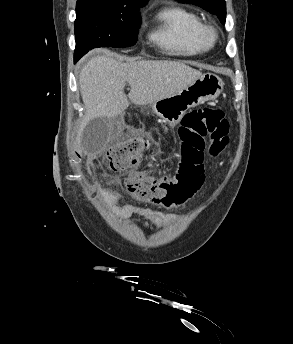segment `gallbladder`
Wrapping results in <instances>:
<instances>
[{"mask_svg": "<svg viewBox=\"0 0 293 344\" xmlns=\"http://www.w3.org/2000/svg\"><path fill=\"white\" fill-rule=\"evenodd\" d=\"M109 135V120L106 117H97L90 120L81 136L84 151L88 154L99 152L107 143Z\"/></svg>", "mask_w": 293, "mask_h": 344, "instance_id": "gallbladder-1", "label": "gallbladder"}]
</instances>
